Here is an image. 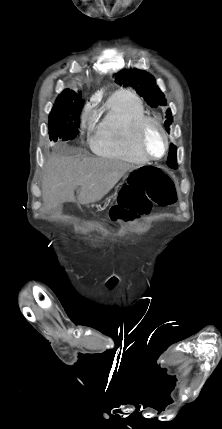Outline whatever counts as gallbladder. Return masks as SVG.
<instances>
[{"label": "gallbladder", "mask_w": 222, "mask_h": 429, "mask_svg": "<svg viewBox=\"0 0 222 429\" xmlns=\"http://www.w3.org/2000/svg\"><path fill=\"white\" fill-rule=\"evenodd\" d=\"M62 209V206L61 205H59L57 208H56V211H60Z\"/></svg>", "instance_id": "bac80fb5"}]
</instances>
